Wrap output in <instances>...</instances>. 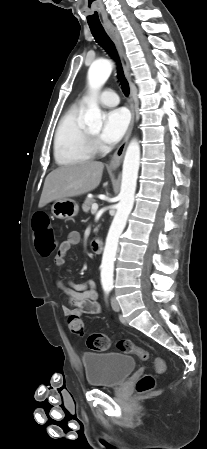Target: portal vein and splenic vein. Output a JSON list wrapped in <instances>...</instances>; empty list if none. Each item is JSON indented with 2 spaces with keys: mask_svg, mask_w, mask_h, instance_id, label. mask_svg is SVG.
Listing matches in <instances>:
<instances>
[{
  "mask_svg": "<svg viewBox=\"0 0 207 449\" xmlns=\"http://www.w3.org/2000/svg\"><path fill=\"white\" fill-rule=\"evenodd\" d=\"M91 210H92V212H96L98 210V204L97 203H93Z\"/></svg>",
  "mask_w": 207,
  "mask_h": 449,
  "instance_id": "18ae733b",
  "label": "portal vein and splenic vein"
}]
</instances>
